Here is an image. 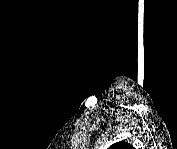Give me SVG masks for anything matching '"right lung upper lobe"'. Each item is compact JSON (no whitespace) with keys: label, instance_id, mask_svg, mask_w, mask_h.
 Listing matches in <instances>:
<instances>
[{"label":"right lung upper lobe","instance_id":"1","mask_svg":"<svg viewBox=\"0 0 177 149\" xmlns=\"http://www.w3.org/2000/svg\"><path fill=\"white\" fill-rule=\"evenodd\" d=\"M110 148H114V149L125 148L126 149V148H131V146L128 143L123 141V142H118V143L113 144Z\"/></svg>","mask_w":177,"mask_h":149}]
</instances>
